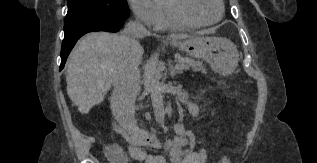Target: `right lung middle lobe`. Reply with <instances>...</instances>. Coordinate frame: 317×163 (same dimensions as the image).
Segmentation results:
<instances>
[{"label": "right lung middle lobe", "mask_w": 317, "mask_h": 163, "mask_svg": "<svg viewBox=\"0 0 317 163\" xmlns=\"http://www.w3.org/2000/svg\"><path fill=\"white\" fill-rule=\"evenodd\" d=\"M67 5L64 32L100 18L126 19L129 17L126 0H68Z\"/></svg>", "instance_id": "1"}]
</instances>
